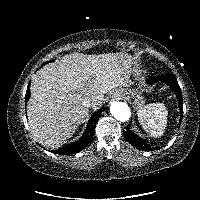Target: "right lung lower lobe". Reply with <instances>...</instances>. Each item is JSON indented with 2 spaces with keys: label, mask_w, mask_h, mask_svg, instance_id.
<instances>
[{
  "label": "right lung lower lobe",
  "mask_w": 200,
  "mask_h": 200,
  "mask_svg": "<svg viewBox=\"0 0 200 200\" xmlns=\"http://www.w3.org/2000/svg\"><path fill=\"white\" fill-rule=\"evenodd\" d=\"M29 98H30V83L28 84L26 95H25L26 104ZM103 110L104 109L99 110L90 118L83 136L78 141L67 144L66 146L54 151V153L70 155V154L80 152L82 149H84L92 140V137L95 132V126H96L97 120L99 119L100 114L102 113Z\"/></svg>",
  "instance_id": "98d812e1"
}]
</instances>
